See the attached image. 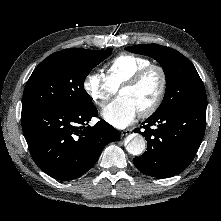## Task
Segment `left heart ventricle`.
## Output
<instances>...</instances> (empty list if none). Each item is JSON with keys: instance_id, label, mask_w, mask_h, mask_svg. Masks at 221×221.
I'll return each mask as SVG.
<instances>
[{"instance_id": "b2bd125f", "label": "left heart ventricle", "mask_w": 221, "mask_h": 221, "mask_svg": "<svg viewBox=\"0 0 221 221\" xmlns=\"http://www.w3.org/2000/svg\"><path fill=\"white\" fill-rule=\"evenodd\" d=\"M161 78L157 71H152L136 86L126 87L120 91V96L127 97L138 112L147 108L157 97Z\"/></svg>"}]
</instances>
